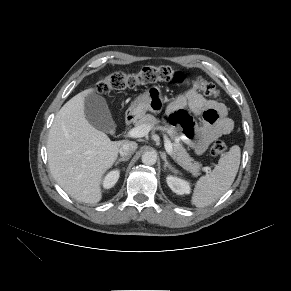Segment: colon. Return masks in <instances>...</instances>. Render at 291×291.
I'll return each instance as SVG.
<instances>
[{"instance_id":"colon-1","label":"colon","mask_w":291,"mask_h":291,"mask_svg":"<svg viewBox=\"0 0 291 291\" xmlns=\"http://www.w3.org/2000/svg\"><path fill=\"white\" fill-rule=\"evenodd\" d=\"M187 77L179 71L167 66H145L136 73H127L116 71L98 79L96 83L97 90L102 93H108L112 90L132 89L138 86H145L157 82H184ZM195 89L201 91L204 95L219 98L220 92L217 87L204 78L198 76L192 80ZM226 144L223 141H216L210 148L213 156H221L226 151Z\"/></svg>"}]
</instances>
